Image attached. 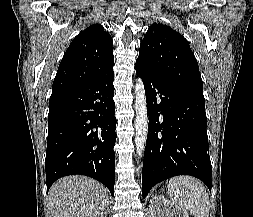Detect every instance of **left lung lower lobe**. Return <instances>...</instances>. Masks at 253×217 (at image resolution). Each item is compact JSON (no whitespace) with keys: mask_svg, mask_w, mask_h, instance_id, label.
Instances as JSON below:
<instances>
[{"mask_svg":"<svg viewBox=\"0 0 253 217\" xmlns=\"http://www.w3.org/2000/svg\"><path fill=\"white\" fill-rule=\"evenodd\" d=\"M145 87L148 136L142 170V196L176 175L202 180L211 191L207 118L204 97L175 87L136 61Z\"/></svg>","mask_w":253,"mask_h":217,"instance_id":"1","label":"left lung lower lobe"}]
</instances>
